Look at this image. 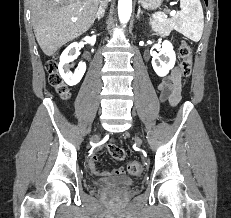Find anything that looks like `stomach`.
<instances>
[{"label": "stomach", "mask_w": 231, "mask_h": 218, "mask_svg": "<svg viewBox=\"0 0 231 218\" xmlns=\"http://www.w3.org/2000/svg\"><path fill=\"white\" fill-rule=\"evenodd\" d=\"M139 4L148 10H155L160 7L163 0H138Z\"/></svg>", "instance_id": "stomach-1"}]
</instances>
